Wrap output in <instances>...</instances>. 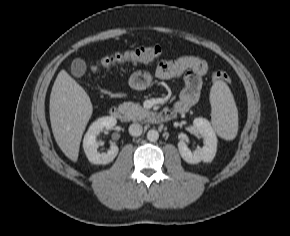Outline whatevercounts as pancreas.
Listing matches in <instances>:
<instances>
[{
    "instance_id": "1",
    "label": "pancreas",
    "mask_w": 290,
    "mask_h": 236,
    "mask_svg": "<svg viewBox=\"0 0 290 236\" xmlns=\"http://www.w3.org/2000/svg\"><path fill=\"white\" fill-rule=\"evenodd\" d=\"M119 109L125 113L127 117L133 120H141L151 114V112L133 102H124L119 105Z\"/></svg>"
}]
</instances>
